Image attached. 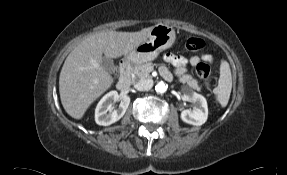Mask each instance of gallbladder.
Wrapping results in <instances>:
<instances>
[{"instance_id": "gallbladder-1", "label": "gallbladder", "mask_w": 287, "mask_h": 175, "mask_svg": "<svg viewBox=\"0 0 287 175\" xmlns=\"http://www.w3.org/2000/svg\"><path fill=\"white\" fill-rule=\"evenodd\" d=\"M101 65L106 71H108V72L113 71L114 63H113V60L111 58L103 56L102 61H101Z\"/></svg>"}]
</instances>
